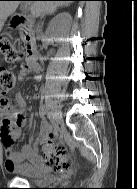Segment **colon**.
I'll return each instance as SVG.
<instances>
[{
	"label": "colon",
	"mask_w": 137,
	"mask_h": 189,
	"mask_svg": "<svg viewBox=\"0 0 137 189\" xmlns=\"http://www.w3.org/2000/svg\"><path fill=\"white\" fill-rule=\"evenodd\" d=\"M0 53L9 63H18L23 59V52L12 42L0 38ZM16 75L4 68H0V100L6 99L7 95L15 88ZM8 102L9 100L6 99ZM41 152L45 156L47 165L55 170L69 167L68 155L65 147L57 146L52 140H48L41 146Z\"/></svg>",
	"instance_id": "5ec220e1"
}]
</instances>
